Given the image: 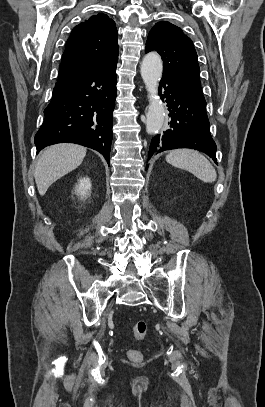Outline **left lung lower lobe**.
<instances>
[{
	"mask_svg": "<svg viewBox=\"0 0 265 407\" xmlns=\"http://www.w3.org/2000/svg\"><path fill=\"white\" fill-rule=\"evenodd\" d=\"M159 94L163 101L166 100L170 111L169 129L152 139L148 159L164 150L193 148L206 153L217 163L216 144L209 131L206 101L165 77L160 81Z\"/></svg>",
	"mask_w": 265,
	"mask_h": 407,
	"instance_id": "1",
	"label": "left lung lower lobe"
}]
</instances>
